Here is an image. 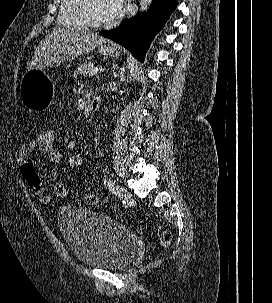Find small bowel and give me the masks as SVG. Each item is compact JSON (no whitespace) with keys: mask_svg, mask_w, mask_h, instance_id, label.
<instances>
[{"mask_svg":"<svg viewBox=\"0 0 272 303\" xmlns=\"http://www.w3.org/2000/svg\"><path fill=\"white\" fill-rule=\"evenodd\" d=\"M40 152L48 155V159L51 163H59L62 159L61 152L56 148H46L42 146L36 138L27 140L17 151L16 161L20 166L27 163V156L30 153ZM55 175L52 174L47 179L53 180ZM52 200L51 194L42 195L40 202L44 205L49 204Z\"/></svg>","mask_w":272,"mask_h":303,"instance_id":"small-bowel-1","label":"small bowel"}]
</instances>
